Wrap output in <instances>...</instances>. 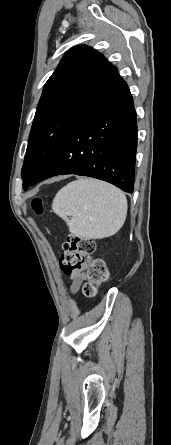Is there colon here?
<instances>
[{
    "mask_svg": "<svg viewBox=\"0 0 171 445\" xmlns=\"http://www.w3.org/2000/svg\"><path fill=\"white\" fill-rule=\"evenodd\" d=\"M32 207L37 214L43 213L44 205L41 199H34ZM95 248L92 240L72 235L63 244V254L60 259V266L65 274L85 271L83 294L87 298L95 297L108 279L105 262L93 257Z\"/></svg>",
    "mask_w": 171,
    "mask_h": 445,
    "instance_id": "5ec220e1",
    "label": "colon"
}]
</instances>
